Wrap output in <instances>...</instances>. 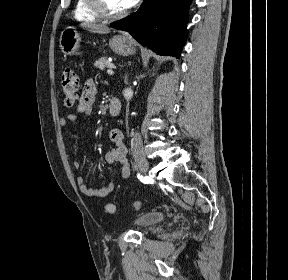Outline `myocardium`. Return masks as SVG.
Returning <instances> with one entry per match:
<instances>
[{
  "label": "myocardium",
  "mask_w": 288,
  "mask_h": 280,
  "mask_svg": "<svg viewBox=\"0 0 288 280\" xmlns=\"http://www.w3.org/2000/svg\"><path fill=\"white\" fill-rule=\"evenodd\" d=\"M91 11L99 18L106 20H116L125 16L126 11L118 13H110L106 7L104 0H87Z\"/></svg>",
  "instance_id": "1"
}]
</instances>
